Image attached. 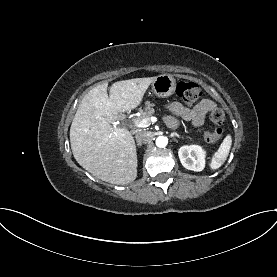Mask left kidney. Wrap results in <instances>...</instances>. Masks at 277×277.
<instances>
[{
    "label": "left kidney",
    "instance_id": "left-kidney-1",
    "mask_svg": "<svg viewBox=\"0 0 277 277\" xmlns=\"http://www.w3.org/2000/svg\"><path fill=\"white\" fill-rule=\"evenodd\" d=\"M178 155L181 164L188 170L199 172L205 167V151L198 145L182 146Z\"/></svg>",
    "mask_w": 277,
    "mask_h": 277
}]
</instances>
